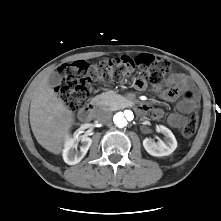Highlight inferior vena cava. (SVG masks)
Listing matches in <instances>:
<instances>
[{
  "label": "inferior vena cava",
  "mask_w": 221,
  "mask_h": 221,
  "mask_svg": "<svg viewBox=\"0 0 221 221\" xmlns=\"http://www.w3.org/2000/svg\"><path fill=\"white\" fill-rule=\"evenodd\" d=\"M97 120L103 124L109 123L112 118V113L108 110H101L97 113Z\"/></svg>",
  "instance_id": "obj_1"
}]
</instances>
